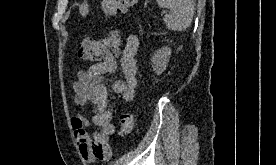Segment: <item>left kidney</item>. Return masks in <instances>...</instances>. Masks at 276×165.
<instances>
[{"label": "left kidney", "instance_id": "1", "mask_svg": "<svg viewBox=\"0 0 276 165\" xmlns=\"http://www.w3.org/2000/svg\"><path fill=\"white\" fill-rule=\"evenodd\" d=\"M171 56V49L164 46L158 49L152 56V67L157 75H160L166 70Z\"/></svg>", "mask_w": 276, "mask_h": 165}]
</instances>
